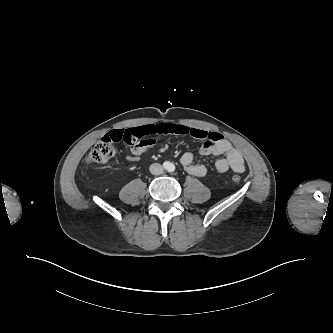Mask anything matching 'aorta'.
Returning a JSON list of instances; mask_svg holds the SVG:
<instances>
[{
	"mask_svg": "<svg viewBox=\"0 0 333 333\" xmlns=\"http://www.w3.org/2000/svg\"><path fill=\"white\" fill-rule=\"evenodd\" d=\"M165 170L171 172L175 170V165L174 163L170 162V161H165L163 164Z\"/></svg>",
	"mask_w": 333,
	"mask_h": 333,
	"instance_id": "obj_1",
	"label": "aorta"
}]
</instances>
